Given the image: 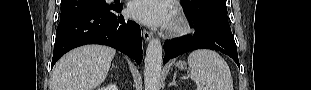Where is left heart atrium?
<instances>
[{"instance_id": "1", "label": "left heart atrium", "mask_w": 311, "mask_h": 90, "mask_svg": "<svg viewBox=\"0 0 311 90\" xmlns=\"http://www.w3.org/2000/svg\"><path fill=\"white\" fill-rule=\"evenodd\" d=\"M129 12L134 19L153 28H166L173 22V11L162 0H135Z\"/></svg>"}]
</instances>
